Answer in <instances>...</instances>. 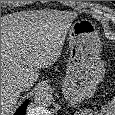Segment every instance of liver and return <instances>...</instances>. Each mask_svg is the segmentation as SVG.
<instances>
[{
    "label": "liver",
    "instance_id": "obj_1",
    "mask_svg": "<svg viewBox=\"0 0 115 115\" xmlns=\"http://www.w3.org/2000/svg\"><path fill=\"white\" fill-rule=\"evenodd\" d=\"M69 27V19L61 14L17 12L1 17V115L14 110L21 92L15 89L16 82L23 81V90L30 89L38 69L58 59Z\"/></svg>",
    "mask_w": 115,
    "mask_h": 115
}]
</instances>
